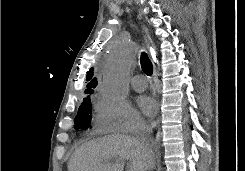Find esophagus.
<instances>
[{
  "label": "esophagus",
  "instance_id": "34e87169",
  "mask_svg": "<svg viewBox=\"0 0 245 171\" xmlns=\"http://www.w3.org/2000/svg\"><path fill=\"white\" fill-rule=\"evenodd\" d=\"M152 63H153V81H154V88L156 91L159 90V81H158V69H157V61L152 56Z\"/></svg>",
  "mask_w": 245,
  "mask_h": 171
}]
</instances>
